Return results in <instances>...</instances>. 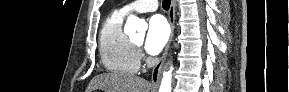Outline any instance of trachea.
Returning a JSON list of instances; mask_svg holds the SVG:
<instances>
[{
  "label": "trachea",
  "mask_w": 289,
  "mask_h": 92,
  "mask_svg": "<svg viewBox=\"0 0 289 92\" xmlns=\"http://www.w3.org/2000/svg\"><path fill=\"white\" fill-rule=\"evenodd\" d=\"M171 4V0H163V9L169 10Z\"/></svg>",
  "instance_id": "3493384b"
}]
</instances>
